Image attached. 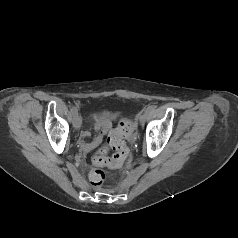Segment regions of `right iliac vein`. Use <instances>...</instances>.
I'll list each match as a JSON object with an SVG mask.
<instances>
[{"mask_svg":"<svg viewBox=\"0 0 238 238\" xmlns=\"http://www.w3.org/2000/svg\"><path fill=\"white\" fill-rule=\"evenodd\" d=\"M81 117L77 114L73 116V126L75 129H79L81 127Z\"/></svg>","mask_w":238,"mask_h":238,"instance_id":"obj_1","label":"right iliac vein"}]
</instances>
